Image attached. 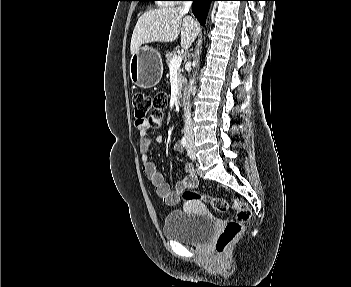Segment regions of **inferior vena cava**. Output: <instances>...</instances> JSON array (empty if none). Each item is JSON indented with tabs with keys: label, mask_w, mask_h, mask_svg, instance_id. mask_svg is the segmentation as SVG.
Segmentation results:
<instances>
[{
	"label": "inferior vena cava",
	"mask_w": 351,
	"mask_h": 287,
	"mask_svg": "<svg viewBox=\"0 0 351 287\" xmlns=\"http://www.w3.org/2000/svg\"><path fill=\"white\" fill-rule=\"evenodd\" d=\"M192 5V1H185L183 4L184 10H188ZM185 120H184V135L186 138L193 139V132L191 127V113H190V105L187 103V107H185Z\"/></svg>",
	"instance_id": "602c4592"
}]
</instances>
